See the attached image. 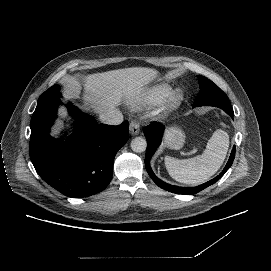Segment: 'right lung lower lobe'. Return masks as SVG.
Here are the masks:
<instances>
[{
    "mask_svg": "<svg viewBox=\"0 0 271 271\" xmlns=\"http://www.w3.org/2000/svg\"><path fill=\"white\" fill-rule=\"evenodd\" d=\"M61 93L39 98L31 118L30 159L40 177L67 197L83 198L104 190L111 181L117 151L129 138V123L96 120L69 106L75 134L65 142L49 135Z\"/></svg>",
    "mask_w": 271,
    "mask_h": 271,
    "instance_id": "right-lung-lower-lobe-1",
    "label": "right lung lower lobe"
}]
</instances>
